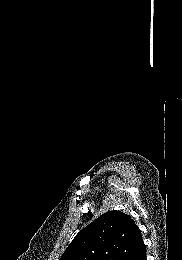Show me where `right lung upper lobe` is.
Returning <instances> with one entry per match:
<instances>
[{"label":"right lung upper lobe","mask_w":182,"mask_h":260,"mask_svg":"<svg viewBox=\"0 0 182 260\" xmlns=\"http://www.w3.org/2000/svg\"><path fill=\"white\" fill-rule=\"evenodd\" d=\"M144 246L132 217L109 211L83 228L59 260H130Z\"/></svg>","instance_id":"1"}]
</instances>
